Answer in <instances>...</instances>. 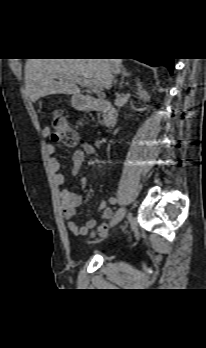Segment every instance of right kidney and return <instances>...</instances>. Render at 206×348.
I'll return each mask as SVG.
<instances>
[{"label": "right kidney", "mask_w": 206, "mask_h": 348, "mask_svg": "<svg viewBox=\"0 0 206 348\" xmlns=\"http://www.w3.org/2000/svg\"><path fill=\"white\" fill-rule=\"evenodd\" d=\"M137 86H138V95L140 99H142L144 102L150 101V96L145 90L142 89V85L138 83Z\"/></svg>", "instance_id": "obj_1"}]
</instances>
